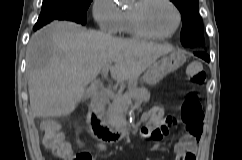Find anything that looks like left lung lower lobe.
Listing matches in <instances>:
<instances>
[{"label":"left lung lower lobe","instance_id":"left-lung-lower-lobe-1","mask_svg":"<svg viewBox=\"0 0 242 160\" xmlns=\"http://www.w3.org/2000/svg\"><path fill=\"white\" fill-rule=\"evenodd\" d=\"M194 54L202 59H204L205 61L209 62L210 61V57L208 56L206 50L204 49H195Z\"/></svg>","mask_w":242,"mask_h":160}]
</instances>
